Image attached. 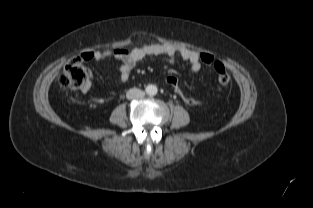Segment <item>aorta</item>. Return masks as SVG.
<instances>
[{
  "label": "aorta",
  "instance_id": "obj_1",
  "mask_svg": "<svg viewBox=\"0 0 313 208\" xmlns=\"http://www.w3.org/2000/svg\"><path fill=\"white\" fill-rule=\"evenodd\" d=\"M157 91H158V89L155 85H149L146 89V92L149 95H156Z\"/></svg>",
  "mask_w": 313,
  "mask_h": 208
}]
</instances>
